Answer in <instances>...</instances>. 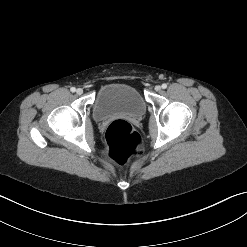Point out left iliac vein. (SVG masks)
Wrapping results in <instances>:
<instances>
[{
	"instance_id": "1",
	"label": "left iliac vein",
	"mask_w": 247,
	"mask_h": 247,
	"mask_svg": "<svg viewBox=\"0 0 247 247\" xmlns=\"http://www.w3.org/2000/svg\"><path fill=\"white\" fill-rule=\"evenodd\" d=\"M155 90L156 91H160L161 90V86H159V85L155 86Z\"/></svg>"
}]
</instances>
